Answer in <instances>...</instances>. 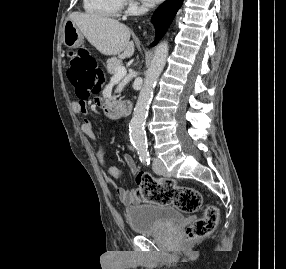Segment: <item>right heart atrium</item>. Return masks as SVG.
Segmentation results:
<instances>
[{
    "instance_id": "d8ad5b80",
    "label": "right heart atrium",
    "mask_w": 286,
    "mask_h": 269,
    "mask_svg": "<svg viewBox=\"0 0 286 269\" xmlns=\"http://www.w3.org/2000/svg\"><path fill=\"white\" fill-rule=\"evenodd\" d=\"M133 8H136V7H135V6H133ZM136 9L140 10V8H136Z\"/></svg>"
}]
</instances>
